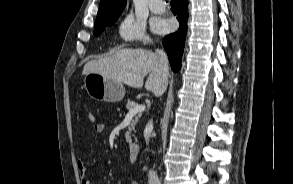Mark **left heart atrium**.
Instances as JSON below:
<instances>
[{
  "instance_id": "1",
  "label": "left heart atrium",
  "mask_w": 293,
  "mask_h": 184,
  "mask_svg": "<svg viewBox=\"0 0 293 184\" xmlns=\"http://www.w3.org/2000/svg\"><path fill=\"white\" fill-rule=\"evenodd\" d=\"M170 28V25L166 21H160L156 24L155 29L158 32H166Z\"/></svg>"
}]
</instances>
